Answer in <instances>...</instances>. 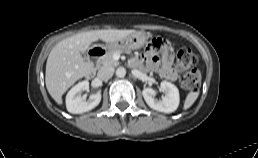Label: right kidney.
I'll use <instances>...</instances> for the list:
<instances>
[{"mask_svg": "<svg viewBox=\"0 0 258 158\" xmlns=\"http://www.w3.org/2000/svg\"><path fill=\"white\" fill-rule=\"evenodd\" d=\"M89 89L87 80L79 82L68 92L66 96V108L72 114H81L95 108L101 101V93L92 94L84 101L81 92Z\"/></svg>", "mask_w": 258, "mask_h": 158, "instance_id": "right-kidney-1", "label": "right kidney"}]
</instances>
